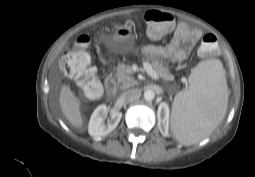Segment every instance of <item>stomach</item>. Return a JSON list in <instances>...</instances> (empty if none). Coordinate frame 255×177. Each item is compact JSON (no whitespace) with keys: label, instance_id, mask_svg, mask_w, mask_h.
<instances>
[{"label":"stomach","instance_id":"0dacf381","mask_svg":"<svg viewBox=\"0 0 255 177\" xmlns=\"http://www.w3.org/2000/svg\"><path fill=\"white\" fill-rule=\"evenodd\" d=\"M113 51L126 53L134 49L133 32L129 25H117L111 36Z\"/></svg>","mask_w":255,"mask_h":177}]
</instances>
